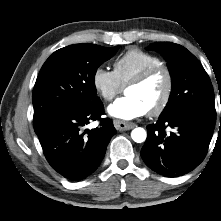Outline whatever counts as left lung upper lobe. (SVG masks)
<instances>
[{
  "mask_svg": "<svg viewBox=\"0 0 221 221\" xmlns=\"http://www.w3.org/2000/svg\"><path fill=\"white\" fill-rule=\"evenodd\" d=\"M148 49L163 55L172 77L171 95L160 117L193 111L215 120L213 87L198 59L175 43L155 42Z\"/></svg>",
  "mask_w": 221,
  "mask_h": 221,
  "instance_id": "obj_1",
  "label": "left lung upper lobe"
}]
</instances>
